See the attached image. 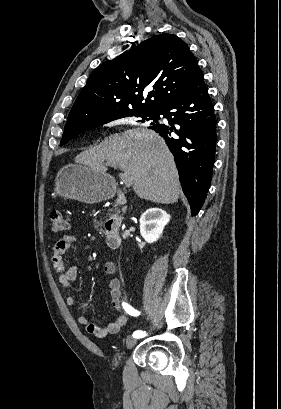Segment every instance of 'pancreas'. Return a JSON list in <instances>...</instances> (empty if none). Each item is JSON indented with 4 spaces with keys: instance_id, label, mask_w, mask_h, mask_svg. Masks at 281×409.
<instances>
[{
    "instance_id": "pancreas-1",
    "label": "pancreas",
    "mask_w": 281,
    "mask_h": 409,
    "mask_svg": "<svg viewBox=\"0 0 281 409\" xmlns=\"http://www.w3.org/2000/svg\"><path fill=\"white\" fill-rule=\"evenodd\" d=\"M118 213H120L119 209H116V215H118Z\"/></svg>"
}]
</instances>
